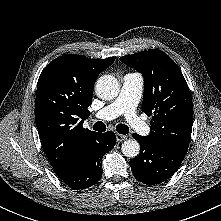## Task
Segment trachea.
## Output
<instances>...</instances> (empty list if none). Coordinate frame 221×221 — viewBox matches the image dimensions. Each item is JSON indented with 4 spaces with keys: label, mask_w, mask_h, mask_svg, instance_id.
<instances>
[{
    "label": "trachea",
    "mask_w": 221,
    "mask_h": 221,
    "mask_svg": "<svg viewBox=\"0 0 221 221\" xmlns=\"http://www.w3.org/2000/svg\"><path fill=\"white\" fill-rule=\"evenodd\" d=\"M93 130L98 132H104L106 131V125L102 121H98L93 125ZM116 130L120 134H128L129 133V127L125 124H118L116 126Z\"/></svg>",
    "instance_id": "3493384b"
}]
</instances>
